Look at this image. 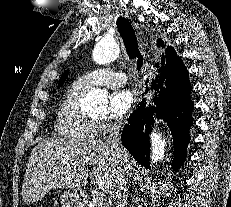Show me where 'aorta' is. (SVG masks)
I'll list each match as a JSON object with an SVG mask.
<instances>
[{
	"label": "aorta",
	"mask_w": 231,
	"mask_h": 207,
	"mask_svg": "<svg viewBox=\"0 0 231 207\" xmlns=\"http://www.w3.org/2000/svg\"><path fill=\"white\" fill-rule=\"evenodd\" d=\"M120 55V47L112 38H103L96 43L92 57L96 64L105 65L113 62ZM108 94L105 90L92 89L81 100V104L88 110L105 111L107 108ZM151 163L160 162L165 156V139L156 130L150 134Z\"/></svg>",
	"instance_id": "1"
}]
</instances>
